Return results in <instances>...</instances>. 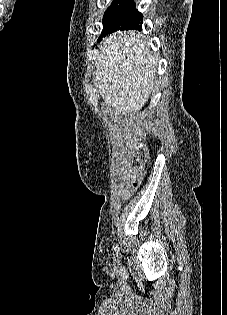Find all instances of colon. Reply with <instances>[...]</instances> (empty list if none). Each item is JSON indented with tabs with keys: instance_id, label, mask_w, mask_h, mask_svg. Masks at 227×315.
I'll use <instances>...</instances> for the list:
<instances>
[{
	"instance_id": "obj_1",
	"label": "colon",
	"mask_w": 227,
	"mask_h": 315,
	"mask_svg": "<svg viewBox=\"0 0 227 315\" xmlns=\"http://www.w3.org/2000/svg\"><path fill=\"white\" fill-rule=\"evenodd\" d=\"M148 162V153L145 147L140 146L134 152V157L130 169L124 173V178L127 182L137 187L143 178V169Z\"/></svg>"
}]
</instances>
